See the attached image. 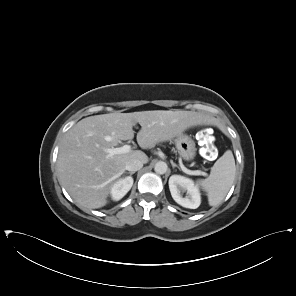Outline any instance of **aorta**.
I'll use <instances>...</instances> for the list:
<instances>
[{
	"mask_svg": "<svg viewBox=\"0 0 296 296\" xmlns=\"http://www.w3.org/2000/svg\"><path fill=\"white\" fill-rule=\"evenodd\" d=\"M168 166L165 162L159 161L155 164L154 170L157 174H165Z\"/></svg>",
	"mask_w": 296,
	"mask_h": 296,
	"instance_id": "aorta-1",
	"label": "aorta"
}]
</instances>
